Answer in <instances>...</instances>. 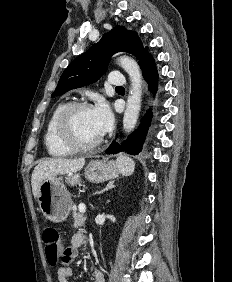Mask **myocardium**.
<instances>
[{
  "label": "myocardium",
  "instance_id": "1",
  "mask_svg": "<svg viewBox=\"0 0 232 282\" xmlns=\"http://www.w3.org/2000/svg\"><path fill=\"white\" fill-rule=\"evenodd\" d=\"M91 105L86 101H75L68 103L60 112L56 122V135L58 140L73 151H88L98 147L102 141L103 136L91 143H82L78 141L71 128V121L73 115L82 109H90Z\"/></svg>",
  "mask_w": 232,
  "mask_h": 282
}]
</instances>
